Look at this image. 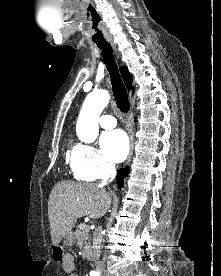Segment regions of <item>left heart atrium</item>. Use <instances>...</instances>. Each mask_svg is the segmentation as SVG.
<instances>
[{
	"label": "left heart atrium",
	"instance_id": "1",
	"mask_svg": "<svg viewBox=\"0 0 221 276\" xmlns=\"http://www.w3.org/2000/svg\"><path fill=\"white\" fill-rule=\"evenodd\" d=\"M100 143L105 157L112 162H122L128 154V138L121 130L105 133Z\"/></svg>",
	"mask_w": 221,
	"mask_h": 276
}]
</instances>
